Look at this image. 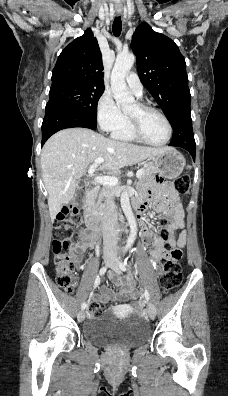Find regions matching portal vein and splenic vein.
Listing matches in <instances>:
<instances>
[{
	"label": "portal vein and splenic vein",
	"mask_w": 228,
	"mask_h": 396,
	"mask_svg": "<svg viewBox=\"0 0 228 396\" xmlns=\"http://www.w3.org/2000/svg\"><path fill=\"white\" fill-rule=\"evenodd\" d=\"M104 162L103 158H97L94 163L89 167L88 170V174L89 176H92L95 169L97 168V166H99L100 164H102ZM143 169H139L136 172V177L140 178L143 175ZM94 181L97 184H102V185H106V186H116L118 184V178L117 177H113V176H97L94 178Z\"/></svg>",
	"instance_id": "obj_1"
}]
</instances>
